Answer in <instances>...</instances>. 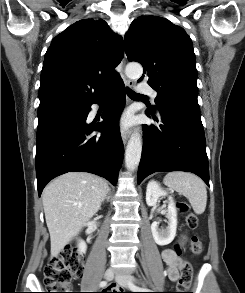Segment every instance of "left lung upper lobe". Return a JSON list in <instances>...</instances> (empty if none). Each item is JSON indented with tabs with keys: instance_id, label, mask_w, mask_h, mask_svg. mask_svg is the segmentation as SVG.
I'll return each instance as SVG.
<instances>
[{
	"instance_id": "5c2ea615",
	"label": "left lung upper lobe",
	"mask_w": 245,
	"mask_h": 293,
	"mask_svg": "<svg viewBox=\"0 0 245 293\" xmlns=\"http://www.w3.org/2000/svg\"><path fill=\"white\" fill-rule=\"evenodd\" d=\"M129 61L139 62L148 84L157 91L156 104H174L200 111L197 69L190 37L180 26L158 16L134 20L125 35Z\"/></svg>"
}]
</instances>
